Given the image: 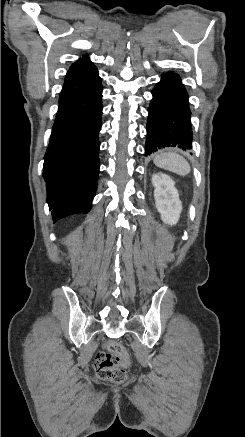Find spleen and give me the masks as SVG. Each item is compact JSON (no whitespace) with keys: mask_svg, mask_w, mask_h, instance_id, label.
I'll return each instance as SVG.
<instances>
[{"mask_svg":"<svg viewBox=\"0 0 245 437\" xmlns=\"http://www.w3.org/2000/svg\"><path fill=\"white\" fill-rule=\"evenodd\" d=\"M156 166L185 176L190 173L191 167L187 160L173 151L158 152L153 159Z\"/></svg>","mask_w":245,"mask_h":437,"instance_id":"spleen-1","label":"spleen"}]
</instances>
